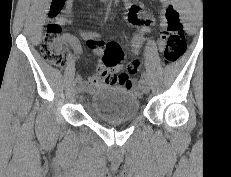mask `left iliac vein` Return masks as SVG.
Returning <instances> with one entry per match:
<instances>
[{"mask_svg": "<svg viewBox=\"0 0 231 177\" xmlns=\"http://www.w3.org/2000/svg\"><path fill=\"white\" fill-rule=\"evenodd\" d=\"M142 89L145 94H148L150 92V85L148 80L146 79L142 80Z\"/></svg>", "mask_w": 231, "mask_h": 177, "instance_id": "obj_1", "label": "left iliac vein"}]
</instances>
